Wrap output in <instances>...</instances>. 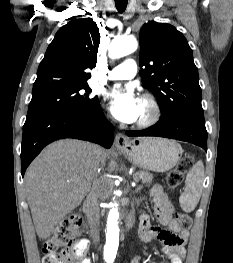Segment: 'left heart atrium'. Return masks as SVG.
<instances>
[{"label": "left heart atrium", "instance_id": "1", "mask_svg": "<svg viewBox=\"0 0 233 263\" xmlns=\"http://www.w3.org/2000/svg\"><path fill=\"white\" fill-rule=\"evenodd\" d=\"M108 109L124 123H134L141 113V98L131 89L115 86L107 94Z\"/></svg>", "mask_w": 233, "mask_h": 263}]
</instances>
